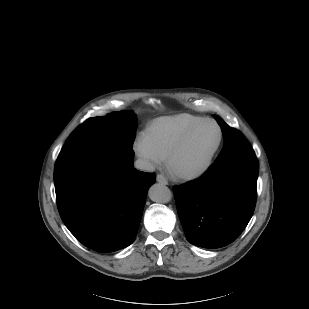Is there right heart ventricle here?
<instances>
[{"label":"right heart ventricle","mask_w":309,"mask_h":309,"mask_svg":"<svg viewBox=\"0 0 309 309\" xmlns=\"http://www.w3.org/2000/svg\"><path fill=\"white\" fill-rule=\"evenodd\" d=\"M202 119L204 118L191 114L158 118L147 126L142 137L160 159H166L173 145L186 130Z\"/></svg>","instance_id":"obj_1"}]
</instances>
